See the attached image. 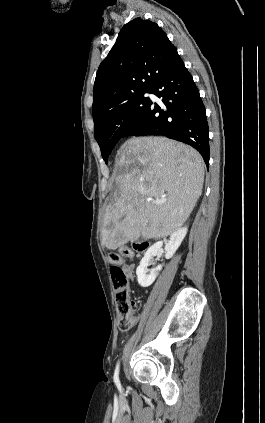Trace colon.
<instances>
[{"instance_id":"5ec220e1","label":"colon","mask_w":265,"mask_h":423,"mask_svg":"<svg viewBox=\"0 0 265 423\" xmlns=\"http://www.w3.org/2000/svg\"><path fill=\"white\" fill-rule=\"evenodd\" d=\"M149 248L145 241L134 242L131 247H121L117 252L109 256L111 263L112 283L116 289L115 300L119 314V328L121 330L131 329L137 321L136 305L130 298L128 280L121 264L134 256V253H144Z\"/></svg>"}]
</instances>
